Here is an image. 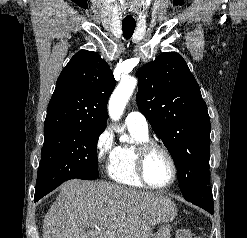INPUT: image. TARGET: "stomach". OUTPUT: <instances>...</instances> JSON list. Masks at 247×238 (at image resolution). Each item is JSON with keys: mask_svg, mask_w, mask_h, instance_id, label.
I'll return each instance as SVG.
<instances>
[{"mask_svg": "<svg viewBox=\"0 0 247 238\" xmlns=\"http://www.w3.org/2000/svg\"><path fill=\"white\" fill-rule=\"evenodd\" d=\"M171 227L168 224L162 225L153 238H170Z\"/></svg>", "mask_w": 247, "mask_h": 238, "instance_id": "obj_1", "label": "stomach"}]
</instances>
